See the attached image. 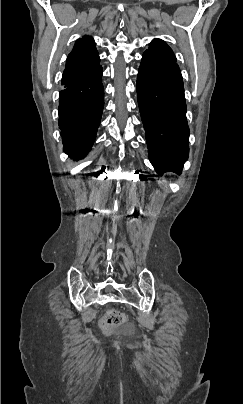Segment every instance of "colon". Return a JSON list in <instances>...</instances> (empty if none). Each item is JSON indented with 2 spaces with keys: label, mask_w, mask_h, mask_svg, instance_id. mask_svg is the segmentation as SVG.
Masks as SVG:
<instances>
[{
  "label": "colon",
  "mask_w": 243,
  "mask_h": 404,
  "mask_svg": "<svg viewBox=\"0 0 243 404\" xmlns=\"http://www.w3.org/2000/svg\"><path fill=\"white\" fill-rule=\"evenodd\" d=\"M127 318L124 313L118 310H111L102 322L104 327L120 326L126 322Z\"/></svg>",
  "instance_id": "colon-1"
}]
</instances>
